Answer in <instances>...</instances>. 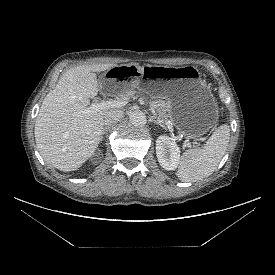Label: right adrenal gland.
I'll use <instances>...</instances> for the list:
<instances>
[{"instance_id": "right-adrenal-gland-1", "label": "right adrenal gland", "mask_w": 275, "mask_h": 275, "mask_svg": "<svg viewBox=\"0 0 275 275\" xmlns=\"http://www.w3.org/2000/svg\"><path fill=\"white\" fill-rule=\"evenodd\" d=\"M110 129V127H105L104 129H103V132H102V135H104L105 133H107V131ZM103 138V137H102ZM101 138V139H102Z\"/></svg>"}]
</instances>
